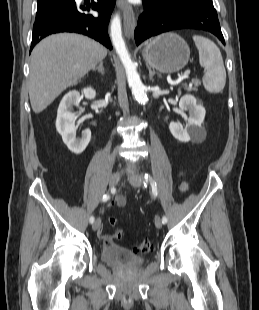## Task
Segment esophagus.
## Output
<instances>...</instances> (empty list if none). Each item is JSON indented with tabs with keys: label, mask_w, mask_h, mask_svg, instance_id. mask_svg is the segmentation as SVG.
I'll list each match as a JSON object with an SVG mask.
<instances>
[{
	"label": "esophagus",
	"mask_w": 259,
	"mask_h": 310,
	"mask_svg": "<svg viewBox=\"0 0 259 310\" xmlns=\"http://www.w3.org/2000/svg\"><path fill=\"white\" fill-rule=\"evenodd\" d=\"M117 7L123 12L125 35L128 38H133L135 29V14L132 6L125 0H117Z\"/></svg>",
	"instance_id": "1"
}]
</instances>
